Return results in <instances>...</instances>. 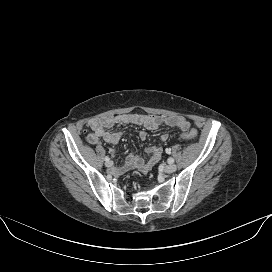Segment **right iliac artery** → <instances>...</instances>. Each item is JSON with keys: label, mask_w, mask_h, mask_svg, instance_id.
I'll list each match as a JSON object with an SVG mask.
<instances>
[{"label": "right iliac artery", "mask_w": 272, "mask_h": 272, "mask_svg": "<svg viewBox=\"0 0 272 272\" xmlns=\"http://www.w3.org/2000/svg\"><path fill=\"white\" fill-rule=\"evenodd\" d=\"M105 161L108 162L110 161V158L108 156L105 157Z\"/></svg>", "instance_id": "1"}]
</instances>
